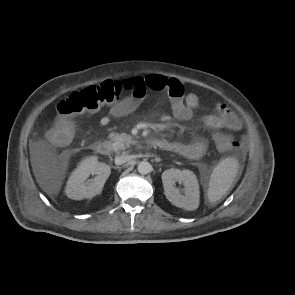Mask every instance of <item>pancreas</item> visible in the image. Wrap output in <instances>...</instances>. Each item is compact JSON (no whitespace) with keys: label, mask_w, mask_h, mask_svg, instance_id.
I'll return each instance as SVG.
<instances>
[{"label":"pancreas","mask_w":295,"mask_h":295,"mask_svg":"<svg viewBox=\"0 0 295 295\" xmlns=\"http://www.w3.org/2000/svg\"><path fill=\"white\" fill-rule=\"evenodd\" d=\"M109 138L112 141V149L115 152H118L120 150H125L126 148H129L131 144H134V139L132 136L126 134V133H115L112 132L109 134Z\"/></svg>","instance_id":"obj_1"}]
</instances>
